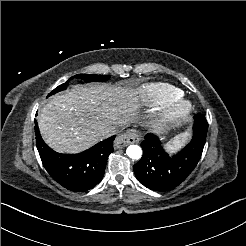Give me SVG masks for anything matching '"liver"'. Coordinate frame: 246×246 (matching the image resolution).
<instances>
[{
	"label": "liver",
	"instance_id": "liver-1",
	"mask_svg": "<svg viewBox=\"0 0 246 246\" xmlns=\"http://www.w3.org/2000/svg\"><path fill=\"white\" fill-rule=\"evenodd\" d=\"M137 104L127 90L109 85L75 86L39 112L44 141L60 153H77L134 120Z\"/></svg>",
	"mask_w": 246,
	"mask_h": 246
}]
</instances>
